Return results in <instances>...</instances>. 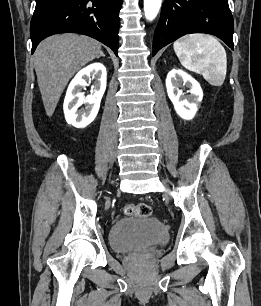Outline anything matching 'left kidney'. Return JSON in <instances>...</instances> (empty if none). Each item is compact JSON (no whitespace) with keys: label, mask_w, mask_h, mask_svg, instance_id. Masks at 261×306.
<instances>
[{"label":"left kidney","mask_w":261,"mask_h":306,"mask_svg":"<svg viewBox=\"0 0 261 306\" xmlns=\"http://www.w3.org/2000/svg\"><path fill=\"white\" fill-rule=\"evenodd\" d=\"M182 86L190 88V95H184ZM166 88L176 113L184 120L193 119L203 98L200 84L184 71L173 69L167 75Z\"/></svg>","instance_id":"obj_1"}]
</instances>
